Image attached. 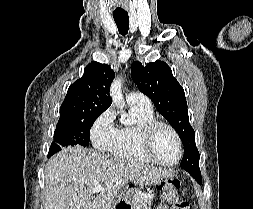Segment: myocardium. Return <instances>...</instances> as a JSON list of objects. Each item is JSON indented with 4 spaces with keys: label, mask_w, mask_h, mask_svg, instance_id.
<instances>
[{
    "label": "myocardium",
    "mask_w": 253,
    "mask_h": 209,
    "mask_svg": "<svg viewBox=\"0 0 253 209\" xmlns=\"http://www.w3.org/2000/svg\"><path fill=\"white\" fill-rule=\"evenodd\" d=\"M158 127H165L168 130H170L176 140L178 152H177V157L173 162L167 163V162L161 161L153 154L151 150L153 134ZM139 144H140V148L143 155L149 161L153 163H156L165 167H173V166H176L181 160L182 153H183L181 138L177 130L168 122L154 119V120L144 123L140 127V131H139Z\"/></svg>",
    "instance_id": "f54148a6"
}]
</instances>
